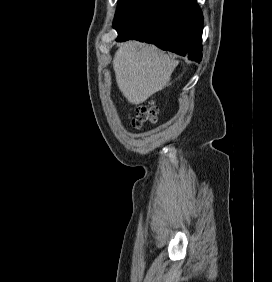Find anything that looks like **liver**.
I'll use <instances>...</instances> for the list:
<instances>
[{"mask_svg": "<svg viewBox=\"0 0 272 282\" xmlns=\"http://www.w3.org/2000/svg\"><path fill=\"white\" fill-rule=\"evenodd\" d=\"M177 64L154 45L130 41L116 51L113 69L124 97L138 105L168 84Z\"/></svg>", "mask_w": 272, "mask_h": 282, "instance_id": "1", "label": "liver"}]
</instances>
